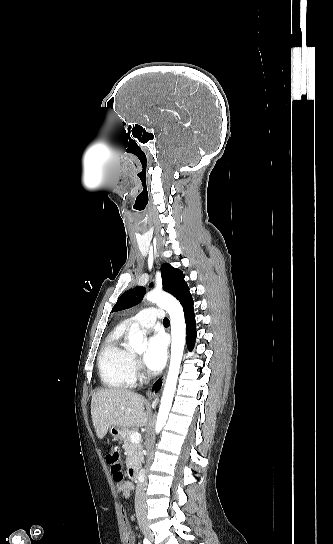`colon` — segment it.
Wrapping results in <instances>:
<instances>
[{
  "label": "colon",
  "instance_id": "1",
  "mask_svg": "<svg viewBox=\"0 0 333 544\" xmlns=\"http://www.w3.org/2000/svg\"><path fill=\"white\" fill-rule=\"evenodd\" d=\"M106 459L108 464L111 466L114 479L118 483L123 482L124 474L122 472V462L120 458L119 448L117 446L111 447Z\"/></svg>",
  "mask_w": 333,
  "mask_h": 544
}]
</instances>
